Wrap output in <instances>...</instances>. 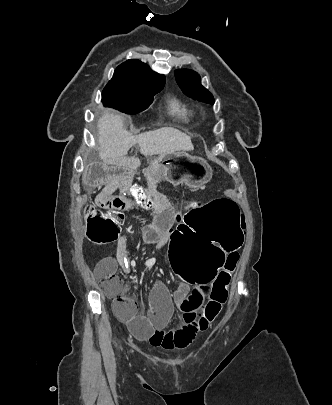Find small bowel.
<instances>
[{
	"mask_svg": "<svg viewBox=\"0 0 332 405\" xmlns=\"http://www.w3.org/2000/svg\"><path fill=\"white\" fill-rule=\"evenodd\" d=\"M160 161L151 159L146 164L145 171L148 173L149 183H160L162 181ZM87 172H81L82 186H105L103 192L96 197L95 204L101 211H138L140 204L133 197L126 196L129 178H134L129 168H113L112 162H90ZM112 177L116 179L112 180ZM129 177V178H128ZM119 190L120 192H114ZM152 202L155 205L154 212L150 214L148 223L143 229V240L148 245H164L170 240L173 234L171 226L175 221L176 210L169 208L170 197L163 195L158 189L152 191ZM160 209V210H159ZM241 227V226H240ZM127 237L122 236L117 243V256L101 259L94 268V272L101 285L106 274L115 272L118 266L125 267V251L127 248ZM237 255L238 254H233ZM228 257H225L227 259ZM139 262L135 261V265ZM141 263L147 264L148 261ZM211 286L191 288L183 282L178 290L171 294L163 282H156L150 292V308L144 311L143 315L130 318H119L126 321L132 335L140 341L149 342L152 346L165 349H181L186 347L195 336L202 331L198 326L200 310L202 309L205 297L210 293ZM177 308L183 313L182 323L167 331L166 326Z\"/></svg>",
	"mask_w": 332,
	"mask_h": 405,
	"instance_id": "1",
	"label": "small bowel"
}]
</instances>
